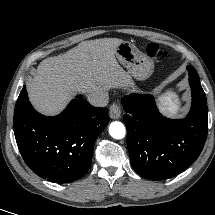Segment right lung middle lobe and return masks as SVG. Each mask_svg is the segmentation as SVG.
Segmentation results:
<instances>
[{
  "mask_svg": "<svg viewBox=\"0 0 215 215\" xmlns=\"http://www.w3.org/2000/svg\"><path fill=\"white\" fill-rule=\"evenodd\" d=\"M25 109V103L23 101L17 100L14 112V119L19 116V114Z\"/></svg>",
  "mask_w": 215,
  "mask_h": 215,
  "instance_id": "1",
  "label": "right lung middle lobe"
}]
</instances>
